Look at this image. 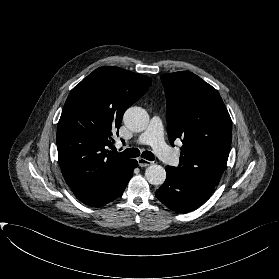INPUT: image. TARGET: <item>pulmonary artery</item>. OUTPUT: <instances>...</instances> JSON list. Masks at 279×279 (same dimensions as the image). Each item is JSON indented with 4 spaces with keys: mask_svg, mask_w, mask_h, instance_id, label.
Wrapping results in <instances>:
<instances>
[{
    "mask_svg": "<svg viewBox=\"0 0 279 279\" xmlns=\"http://www.w3.org/2000/svg\"><path fill=\"white\" fill-rule=\"evenodd\" d=\"M136 143L150 145L156 155L169 165H177L179 158L172 153L163 139V124L159 116H153L146 131L140 135Z\"/></svg>",
    "mask_w": 279,
    "mask_h": 279,
    "instance_id": "obj_1",
    "label": "pulmonary artery"
}]
</instances>
